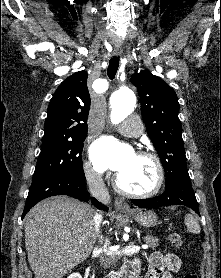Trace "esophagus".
Instances as JSON below:
<instances>
[{"label":"esophagus","mask_w":221,"mask_h":278,"mask_svg":"<svg viewBox=\"0 0 221 278\" xmlns=\"http://www.w3.org/2000/svg\"><path fill=\"white\" fill-rule=\"evenodd\" d=\"M120 53L119 49H114L113 50V54L114 55H118ZM115 208L118 211H129L130 207L128 205V203L126 202V200L122 197H116L115 198V202H114Z\"/></svg>","instance_id":"esophagus-1"}]
</instances>
